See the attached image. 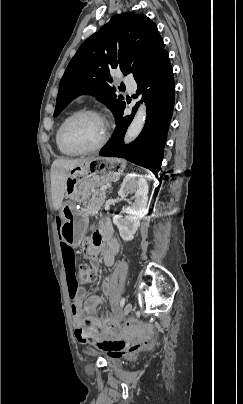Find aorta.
I'll list each match as a JSON object with an SVG mask.
<instances>
[{
    "label": "aorta",
    "instance_id": "obj_1",
    "mask_svg": "<svg viewBox=\"0 0 243 404\" xmlns=\"http://www.w3.org/2000/svg\"><path fill=\"white\" fill-rule=\"evenodd\" d=\"M146 120V106L145 104H141L140 108H138L134 120H132L124 138L125 144H130L133 140L138 138L139 134H141L144 124Z\"/></svg>",
    "mask_w": 243,
    "mask_h": 404
}]
</instances>
